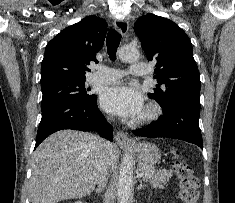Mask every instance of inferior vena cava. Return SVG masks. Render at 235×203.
Returning a JSON list of instances; mask_svg holds the SVG:
<instances>
[{
    "mask_svg": "<svg viewBox=\"0 0 235 203\" xmlns=\"http://www.w3.org/2000/svg\"><path fill=\"white\" fill-rule=\"evenodd\" d=\"M107 147H108V142H105L103 139H101L100 148L102 152V160H101V164L98 170V179H97L98 187H105V183L107 181L108 170H109V166H108V162L106 158Z\"/></svg>",
    "mask_w": 235,
    "mask_h": 203,
    "instance_id": "1",
    "label": "inferior vena cava"
}]
</instances>
